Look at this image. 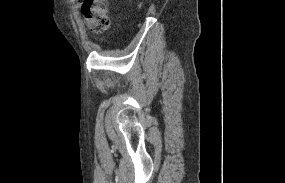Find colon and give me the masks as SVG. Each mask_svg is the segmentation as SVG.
Returning a JSON list of instances; mask_svg holds the SVG:
<instances>
[{"label": "colon", "mask_w": 285, "mask_h": 183, "mask_svg": "<svg viewBox=\"0 0 285 183\" xmlns=\"http://www.w3.org/2000/svg\"><path fill=\"white\" fill-rule=\"evenodd\" d=\"M81 9L92 31L103 32L109 28V0H84Z\"/></svg>", "instance_id": "obj_1"}]
</instances>
